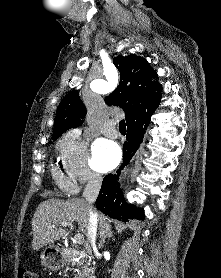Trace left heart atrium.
Returning <instances> with one entry per match:
<instances>
[{"mask_svg": "<svg viewBox=\"0 0 221 278\" xmlns=\"http://www.w3.org/2000/svg\"><path fill=\"white\" fill-rule=\"evenodd\" d=\"M92 159L94 167L100 172L113 169L121 159L119 145L108 139H98L92 148Z\"/></svg>", "mask_w": 221, "mask_h": 278, "instance_id": "obj_1", "label": "left heart atrium"}]
</instances>
